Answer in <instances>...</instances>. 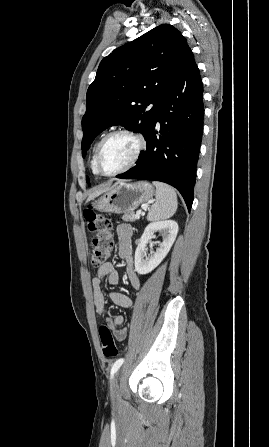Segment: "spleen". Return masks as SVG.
Segmentation results:
<instances>
[{
  "instance_id": "spleen-1",
  "label": "spleen",
  "mask_w": 269,
  "mask_h": 447,
  "mask_svg": "<svg viewBox=\"0 0 269 447\" xmlns=\"http://www.w3.org/2000/svg\"><path fill=\"white\" fill-rule=\"evenodd\" d=\"M156 186V202L151 206L147 220L148 222H158V220H167L174 216L178 204L177 194L171 186L162 184V182H152Z\"/></svg>"
}]
</instances>
